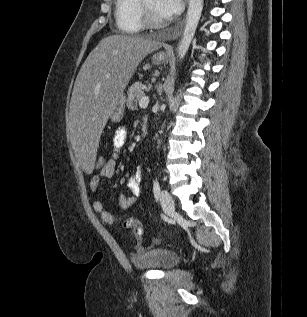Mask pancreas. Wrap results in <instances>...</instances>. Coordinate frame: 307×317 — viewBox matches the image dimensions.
Listing matches in <instances>:
<instances>
[{
  "instance_id": "cf45deb5",
  "label": "pancreas",
  "mask_w": 307,
  "mask_h": 317,
  "mask_svg": "<svg viewBox=\"0 0 307 317\" xmlns=\"http://www.w3.org/2000/svg\"><path fill=\"white\" fill-rule=\"evenodd\" d=\"M143 84L141 82H136L130 86L127 92V100L126 105L130 110L137 109V103L144 96V92L142 90Z\"/></svg>"
}]
</instances>
